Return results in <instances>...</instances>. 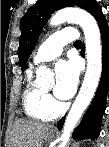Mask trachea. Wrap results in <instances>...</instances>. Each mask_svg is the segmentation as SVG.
Returning a JSON list of instances; mask_svg holds the SVG:
<instances>
[{"instance_id": "3493384b", "label": "trachea", "mask_w": 109, "mask_h": 147, "mask_svg": "<svg viewBox=\"0 0 109 147\" xmlns=\"http://www.w3.org/2000/svg\"><path fill=\"white\" fill-rule=\"evenodd\" d=\"M80 44H82L80 40L74 42V45H80Z\"/></svg>"}]
</instances>
